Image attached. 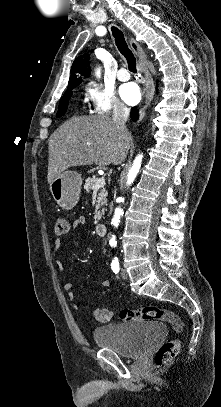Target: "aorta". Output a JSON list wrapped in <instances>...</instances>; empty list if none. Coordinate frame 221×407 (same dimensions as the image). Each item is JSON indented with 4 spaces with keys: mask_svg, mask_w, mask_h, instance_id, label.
I'll return each mask as SVG.
<instances>
[{
    "mask_svg": "<svg viewBox=\"0 0 221 407\" xmlns=\"http://www.w3.org/2000/svg\"><path fill=\"white\" fill-rule=\"evenodd\" d=\"M97 75H98V76L100 75V71H99V70L97 71ZM142 157H143L142 155H138V156L135 158V160H134V162H133V165H132L131 169L129 170V173H128V176H127V184H128V185L132 184L133 181L135 180V178H136V176H137V174H138V172H139V170H140ZM123 201H124V199L121 198V202H123ZM122 215H123V210H122V208H120V207L116 208V209H115V212H114V216H113V218H112V222H111L115 227H117V226L119 225L120 217H121ZM109 244H110L111 246H116L117 242H116L115 236H112V238H111L110 241H109Z\"/></svg>",
    "mask_w": 221,
    "mask_h": 407,
    "instance_id": "aorta-1",
    "label": "aorta"
}]
</instances>
